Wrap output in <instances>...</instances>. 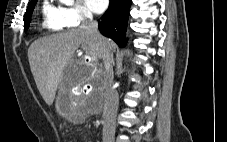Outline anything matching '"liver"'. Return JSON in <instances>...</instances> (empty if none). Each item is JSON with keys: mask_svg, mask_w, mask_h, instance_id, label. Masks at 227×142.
Segmentation results:
<instances>
[{"mask_svg": "<svg viewBox=\"0 0 227 142\" xmlns=\"http://www.w3.org/2000/svg\"><path fill=\"white\" fill-rule=\"evenodd\" d=\"M102 42L110 51L115 48L114 42L108 38L103 37ZM79 47L88 60L83 62L85 70L83 74L69 81L64 91L73 84H83L94 78L98 59L101 58L99 42L78 28L40 38L30 45L28 59L31 72L47 105L53 104L57 89L64 79V71Z\"/></svg>", "mask_w": 227, "mask_h": 142, "instance_id": "6515ba94", "label": "liver"}]
</instances>
